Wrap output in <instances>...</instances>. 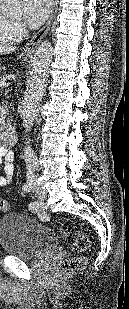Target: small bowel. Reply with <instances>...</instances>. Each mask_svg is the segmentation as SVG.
<instances>
[{
    "label": "small bowel",
    "mask_w": 129,
    "mask_h": 309,
    "mask_svg": "<svg viewBox=\"0 0 129 309\" xmlns=\"http://www.w3.org/2000/svg\"><path fill=\"white\" fill-rule=\"evenodd\" d=\"M14 154L6 146H0V166L2 165V174H0V187H4L12 182L14 174Z\"/></svg>",
    "instance_id": "small-bowel-1"
}]
</instances>
